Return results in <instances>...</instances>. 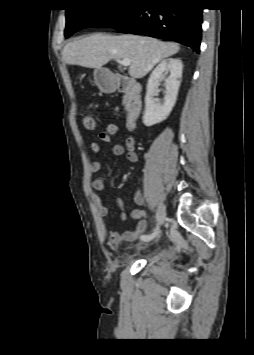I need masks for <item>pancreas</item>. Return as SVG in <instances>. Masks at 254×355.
Wrapping results in <instances>:
<instances>
[{"label":"pancreas","mask_w":254,"mask_h":355,"mask_svg":"<svg viewBox=\"0 0 254 355\" xmlns=\"http://www.w3.org/2000/svg\"><path fill=\"white\" fill-rule=\"evenodd\" d=\"M123 104L127 105V99H123Z\"/></svg>","instance_id":"pancreas-1"}]
</instances>
